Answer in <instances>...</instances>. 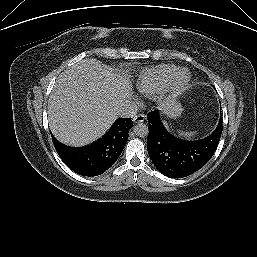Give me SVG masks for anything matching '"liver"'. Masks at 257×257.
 <instances>
[{
    "label": "liver",
    "instance_id": "liver-1",
    "mask_svg": "<svg viewBox=\"0 0 257 257\" xmlns=\"http://www.w3.org/2000/svg\"><path fill=\"white\" fill-rule=\"evenodd\" d=\"M130 96L123 76L97 59H83L62 72L54 85L48 103L50 129L64 144L91 143L107 132Z\"/></svg>",
    "mask_w": 257,
    "mask_h": 257
}]
</instances>
